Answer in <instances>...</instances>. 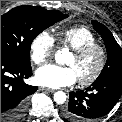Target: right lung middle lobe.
I'll return each mask as SVG.
<instances>
[{
	"mask_svg": "<svg viewBox=\"0 0 122 122\" xmlns=\"http://www.w3.org/2000/svg\"><path fill=\"white\" fill-rule=\"evenodd\" d=\"M68 17L56 10L19 6L1 16V54L30 66V47L34 38L54 23Z\"/></svg>",
	"mask_w": 122,
	"mask_h": 122,
	"instance_id": "1",
	"label": "right lung middle lobe"
}]
</instances>
